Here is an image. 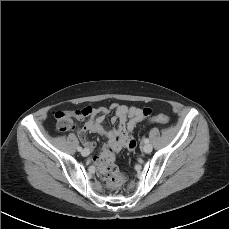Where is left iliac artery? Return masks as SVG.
<instances>
[{"label":"left iliac artery","mask_w":229,"mask_h":229,"mask_svg":"<svg viewBox=\"0 0 229 229\" xmlns=\"http://www.w3.org/2000/svg\"><path fill=\"white\" fill-rule=\"evenodd\" d=\"M144 142H145V143H148V142H149V139H148V138H145V139H144Z\"/></svg>","instance_id":"1"}]
</instances>
